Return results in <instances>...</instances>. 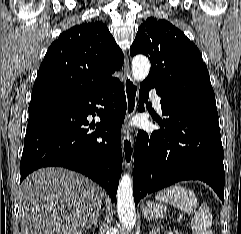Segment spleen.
Wrapping results in <instances>:
<instances>
[{
    "label": "spleen",
    "instance_id": "spleen-1",
    "mask_svg": "<svg viewBox=\"0 0 241 234\" xmlns=\"http://www.w3.org/2000/svg\"><path fill=\"white\" fill-rule=\"evenodd\" d=\"M156 200L169 203L185 213H194L191 220L193 234H212V215L206 203L197 209L194 192L179 184L163 189L156 195Z\"/></svg>",
    "mask_w": 241,
    "mask_h": 234
}]
</instances>
